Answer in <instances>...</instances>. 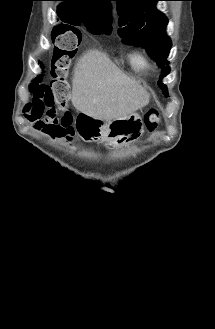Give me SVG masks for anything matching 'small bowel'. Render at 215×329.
Here are the masks:
<instances>
[{"label":"small bowel","instance_id":"c3829d8e","mask_svg":"<svg viewBox=\"0 0 215 329\" xmlns=\"http://www.w3.org/2000/svg\"><path fill=\"white\" fill-rule=\"evenodd\" d=\"M27 120L39 131L49 137L68 138L71 131L61 127V118L58 114L37 115L26 114Z\"/></svg>","mask_w":215,"mask_h":329}]
</instances>
